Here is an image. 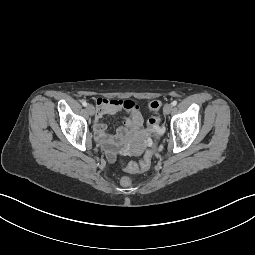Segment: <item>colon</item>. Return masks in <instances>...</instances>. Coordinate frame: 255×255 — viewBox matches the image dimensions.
<instances>
[{
    "instance_id": "1",
    "label": "colon",
    "mask_w": 255,
    "mask_h": 255,
    "mask_svg": "<svg viewBox=\"0 0 255 255\" xmlns=\"http://www.w3.org/2000/svg\"><path fill=\"white\" fill-rule=\"evenodd\" d=\"M148 107L153 112V116H151L150 119L148 120L149 131L153 136H157L161 132V127H160L161 119H160V116L158 115V110L161 107V103L156 100L151 101L148 104ZM152 154H153V150L152 149L148 150L142 162L139 165L134 163L129 164L126 168L127 171L129 172L146 171L150 166ZM120 183L124 187H129L132 185L133 179L130 175H124L120 179Z\"/></svg>"
}]
</instances>
